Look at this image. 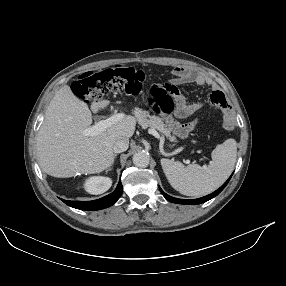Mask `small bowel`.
<instances>
[{
  "mask_svg": "<svg viewBox=\"0 0 286 286\" xmlns=\"http://www.w3.org/2000/svg\"><path fill=\"white\" fill-rule=\"evenodd\" d=\"M172 74L174 77L171 80L172 84L170 85L176 90L174 94L176 104L175 115L178 118H189L206 104L220 108L223 111L228 109V103L225 96L217 89H214L205 100L191 103H187L185 98L179 92L178 86L182 85L192 83L199 86L211 85L212 83L210 79L204 72L193 70L186 66H178L172 70Z\"/></svg>",
  "mask_w": 286,
  "mask_h": 286,
  "instance_id": "c3829d8e",
  "label": "small bowel"
}]
</instances>
